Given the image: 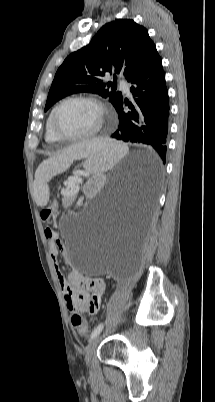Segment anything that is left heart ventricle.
<instances>
[{
    "label": "left heart ventricle",
    "instance_id": "left-heart-ventricle-1",
    "mask_svg": "<svg viewBox=\"0 0 215 402\" xmlns=\"http://www.w3.org/2000/svg\"><path fill=\"white\" fill-rule=\"evenodd\" d=\"M100 120L99 109L85 101H70L56 114L58 129L67 135H81L92 131Z\"/></svg>",
    "mask_w": 215,
    "mask_h": 402
}]
</instances>
